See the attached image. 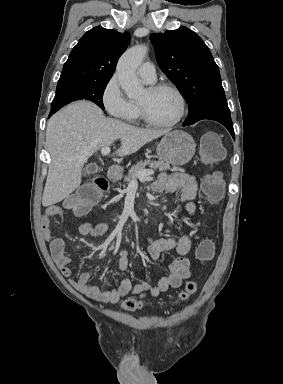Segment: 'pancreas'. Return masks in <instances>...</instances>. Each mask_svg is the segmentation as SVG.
I'll list each match as a JSON object with an SVG mask.
<instances>
[{"mask_svg": "<svg viewBox=\"0 0 283 384\" xmlns=\"http://www.w3.org/2000/svg\"><path fill=\"white\" fill-rule=\"evenodd\" d=\"M146 166L149 168H154V170H159V172H164V170H170L171 166L167 164V162H152V160H144V162H137L136 166H132L130 170H128V176H124V182H131V180H137L138 172H142L145 170ZM120 172H122L123 168H118Z\"/></svg>", "mask_w": 283, "mask_h": 384, "instance_id": "pancreas-1", "label": "pancreas"}]
</instances>
